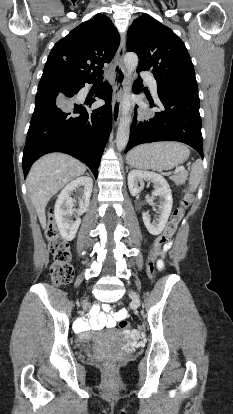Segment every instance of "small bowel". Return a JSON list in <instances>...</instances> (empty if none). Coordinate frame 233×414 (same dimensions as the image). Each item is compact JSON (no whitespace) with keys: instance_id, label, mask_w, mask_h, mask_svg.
Masks as SVG:
<instances>
[{"instance_id":"obj_1","label":"small bowel","mask_w":233,"mask_h":414,"mask_svg":"<svg viewBox=\"0 0 233 414\" xmlns=\"http://www.w3.org/2000/svg\"><path fill=\"white\" fill-rule=\"evenodd\" d=\"M169 248V245L165 247ZM156 267L158 270L164 269L163 260H157ZM127 317V311L120 309L116 312L111 310L109 304L101 302H93V309L90 312L89 319H80L76 322V329L78 332L84 334L89 330L98 331L103 328H113L119 321Z\"/></svg>"}]
</instances>
